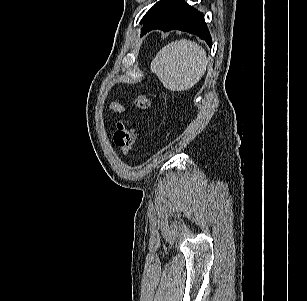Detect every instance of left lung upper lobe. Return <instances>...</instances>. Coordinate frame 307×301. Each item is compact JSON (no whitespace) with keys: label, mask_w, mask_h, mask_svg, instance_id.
Wrapping results in <instances>:
<instances>
[{"label":"left lung upper lobe","mask_w":307,"mask_h":301,"mask_svg":"<svg viewBox=\"0 0 307 301\" xmlns=\"http://www.w3.org/2000/svg\"><path fill=\"white\" fill-rule=\"evenodd\" d=\"M179 0H160L143 16L142 33L150 26L158 23L178 3Z\"/></svg>","instance_id":"1"}]
</instances>
